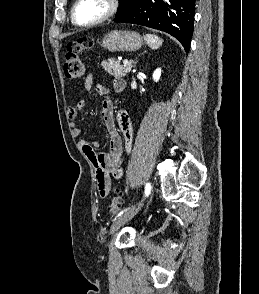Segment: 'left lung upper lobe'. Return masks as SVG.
<instances>
[{
  "instance_id": "5c2ea615",
  "label": "left lung upper lobe",
  "mask_w": 259,
  "mask_h": 294,
  "mask_svg": "<svg viewBox=\"0 0 259 294\" xmlns=\"http://www.w3.org/2000/svg\"><path fill=\"white\" fill-rule=\"evenodd\" d=\"M135 0H120V10L117 16L124 14L134 7Z\"/></svg>"
}]
</instances>
